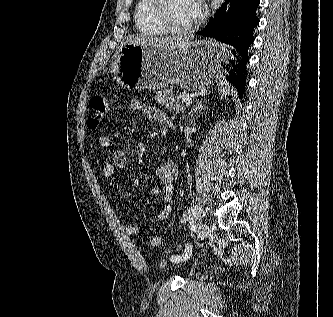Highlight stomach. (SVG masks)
<instances>
[{
    "instance_id": "0dacf381",
    "label": "stomach",
    "mask_w": 333,
    "mask_h": 317,
    "mask_svg": "<svg viewBox=\"0 0 333 317\" xmlns=\"http://www.w3.org/2000/svg\"><path fill=\"white\" fill-rule=\"evenodd\" d=\"M218 62H231L230 49L209 40L191 41L176 50L128 43L121 47L109 71L129 90L175 85L189 91L228 88V81H211L219 69Z\"/></svg>"
}]
</instances>
